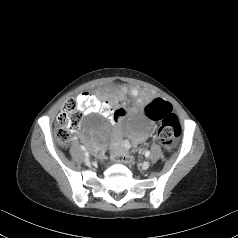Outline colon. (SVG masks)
Here are the masks:
<instances>
[{
	"mask_svg": "<svg viewBox=\"0 0 238 238\" xmlns=\"http://www.w3.org/2000/svg\"><path fill=\"white\" fill-rule=\"evenodd\" d=\"M146 116L160 123L158 129V139L165 148H170L178 140L181 134L180 123L177 116L172 111L169 102L155 99L145 107ZM124 116V110L119 109L113 113L115 121H119ZM82 117L81 110L77 101L73 98L68 99L57 117L55 137L62 147H66L71 140V133L75 131L80 124ZM111 159L114 162L131 164L133 156L121 147H117Z\"/></svg>",
	"mask_w": 238,
	"mask_h": 238,
	"instance_id": "5ec220e1",
	"label": "colon"
}]
</instances>
